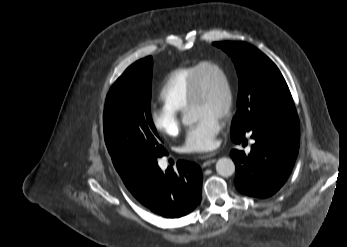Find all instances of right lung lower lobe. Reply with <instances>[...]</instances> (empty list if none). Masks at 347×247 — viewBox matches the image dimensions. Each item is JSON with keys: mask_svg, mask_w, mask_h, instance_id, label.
<instances>
[{"mask_svg": "<svg viewBox=\"0 0 347 247\" xmlns=\"http://www.w3.org/2000/svg\"><path fill=\"white\" fill-rule=\"evenodd\" d=\"M123 182L141 204L167 218L190 213L201 200L202 173L193 162L179 161L176 172L171 167L163 172L157 160L145 163Z\"/></svg>", "mask_w": 347, "mask_h": 247, "instance_id": "1", "label": "right lung lower lobe"}]
</instances>
